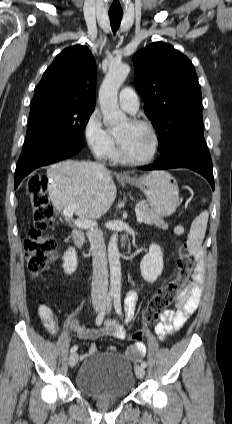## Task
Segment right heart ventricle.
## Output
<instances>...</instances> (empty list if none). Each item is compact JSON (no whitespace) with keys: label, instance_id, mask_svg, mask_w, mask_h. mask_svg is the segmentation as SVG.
I'll use <instances>...</instances> for the list:
<instances>
[{"label":"right heart ventricle","instance_id":"right-heart-ventricle-1","mask_svg":"<svg viewBox=\"0 0 232 424\" xmlns=\"http://www.w3.org/2000/svg\"><path fill=\"white\" fill-rule=\"evenodd\" d=\"M111 157L113 158V160H119V158H118V155H117V153L116 152H114V150H113V152L111 153Z\"/></svg>","mask_w":232,"mask_h":424}]
</instances>
